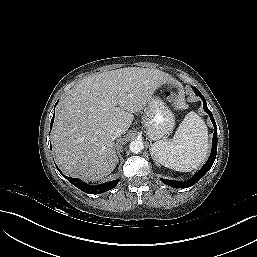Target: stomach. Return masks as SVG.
<instances>
[{
	"mask_svg": "<svg viewBox=\"0 0 257 257\" xmlns=\"http://www.w3.org/2000/svg\"><path fill=\"white\" fill-rule=\"evenodd\" d=\"M142 121L151 140H158L169 134L175 126L174 116L158 95H152L144 107Z\"/></svg>",
	"mask_w": 257,
	"mask_h": 257,
	"instance_id": "stomach-1",
	"label": "stomach"
}]
</instances>
